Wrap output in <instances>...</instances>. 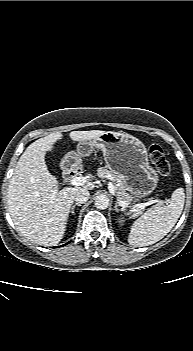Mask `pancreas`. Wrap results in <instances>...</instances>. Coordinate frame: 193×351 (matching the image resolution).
I'll use <instances>...</instances> for the list:
<instances>
[{
	"label": "pancreas",
	"mask_w": 193,
	"mask_h": 351,
	"mask_svg": "<svg viewBox=\"0 0 193 351\" xmlns=\"http://www.w3.org/2000/svg\"><path fill=\"white\" fill-rule=\"evenodd\" d=\"M97 175L100 178H110L113 181L116 191L115 195L119 201L125 202L127 204H130L132 201H138V199H136L134 196L127 193L125 179L122 175L114 173L103 167L98 168Z\"/></svg>",
	"instance_id": "1"
}]
</instances>
